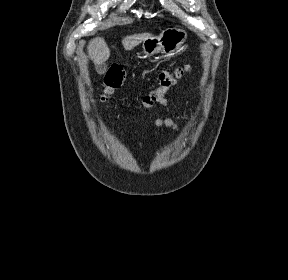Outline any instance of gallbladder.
<instances>
[{
    "mask_svg": "<svg viewBox=\"0 0 288 280\" xmlns=\"http://www.w3.org/2000/svg\"><path fill=\"white\" fill-rule=\"evenodd\" d=\"M95 69H96L98 74L102 75V74L106 73L107 65L105 63L96 64Z\"/></svg>",
    "mask_w": 288,
    "mask_h": 280,
    "instance_id": "bac80fb5",
    "label": "gallbladder"
}]
</instances>
